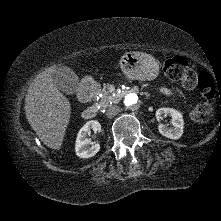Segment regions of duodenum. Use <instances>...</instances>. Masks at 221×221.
Returning <instances> with one entry per match:
<instances>
[{"instance_id": "obj_1", "label": "duodenum", "mask_w": 221, "mask_h": 221, "mask_svg": "<svg viewBox=\"0 0 221 221\" xmlns=\"http://www.w3.org/2000/svg\"><path fill=\"white\" fill-rule=\"evenodd\" d=\"M100 87L97 83L86 82L79 89V99L83 102L92 100L99 92ZM97 115V107L95 105L88 106L83 112L82 117L86 120L92 119Z\"/></svg>"}]
</instances>
